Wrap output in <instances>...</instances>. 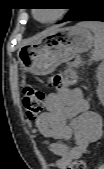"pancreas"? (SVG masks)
Listing matches in <instances>:
<instances>
[{
	"mask_svg": "<svg viewBox=\"0 0 104 169\" xmlns=\"http://www.w3.org/2000/svg\"><path fill=\"white\" fill-rule=\"evenodd\" d=\"M71 66L74 68H78L80 66V61H74L73 63H71Z\"/></svg>",
	"mask_w": 104,
	"mask_h": 169,
	"instance_id": "1",
	"label": "pancreas"
}]
</instances>
